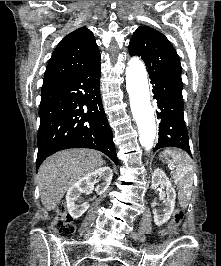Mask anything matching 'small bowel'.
<instances>
[{
    "label": "small bowel",
    "mask_w": 221,
    "mask_h": 266,
    "mask_svg": "<svg viewBox=\"0 0 221 266\" xmlns=\"http://www.w3.org/2000/svg\"><path fill=\"white\" fill-rule=\"evenodd\" d=\"M94 266H108V265L105 264V263H97V264H95Z\"/></svg>",
    "instance_id": "1"
}]
</instances>
